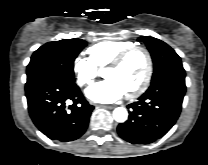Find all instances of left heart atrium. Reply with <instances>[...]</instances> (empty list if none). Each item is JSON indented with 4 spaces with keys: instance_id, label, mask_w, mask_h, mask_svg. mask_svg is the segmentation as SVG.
I'll return each mask as SVG.
<instances>
[{
    "instance_id": "1",
    "label": "left heart atrium",
    "mask_w": 208,
    "mask_h": 165,
    "mask_svg": "<svg viewBox=\"0 0 208 165\" xmlns=\"http://www.w3.org/2000/svg\"><path fill=\"white\" fill-rule=\"evenodd\" d=\"M86 94L94 102L110 103L120 99L125 91L115 79L108 78L92 85Z\"/></svg>"
}]
</instances>
